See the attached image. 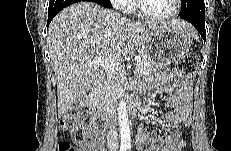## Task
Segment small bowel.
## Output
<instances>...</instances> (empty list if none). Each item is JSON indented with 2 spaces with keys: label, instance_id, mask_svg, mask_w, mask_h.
I'll use <instances>...</instances> for the list:
<instances>
[{
  "label": "small bowel",
  "instance_id": "c3829d8e",
  "mask_svg": "<svg viewBox=\"0 0 231 151\" xmlns=\"http://www.w3.org/2000/svg\"><path fill=\"white\" fill-rule=\"evenodd\" d=\"M148 88L164 94L161 102L156 104L170 108L165 112L164 122L169 132L163 136L149 134L140 125L136 135L137 151H172L174 147H183L186 141L181 138V126H189L191 122L192 101L189 93L190 82L175 70H168L150 82ZM144 91L143 87L139 88ZM97 118L92 116L87 127V138L82 144L84 151H105L102 131L96 125Z\"/></svg>",
  "mask_w": 231,
  "mask_h": 151
}]
</instances>
